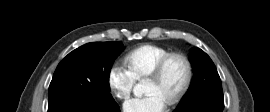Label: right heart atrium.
Wrapping results in <instances>:
<instances>
[{"instance_id":"obj_1","label":"right heart atrium","mask_w":270,"mask_h":112,"mask_svg":"<svg viewBox=\"0 0 270 112\" xmlns=\"http://www.w3.org/2000/svg\"><path fill=\"white\" fill-rule=\"evenodd\" d=\"M135 78L129 69L122 63L111 65L107 74V84L113 96L121 101L127 100L135 85Z\"/></svg>"}]
</instances>
